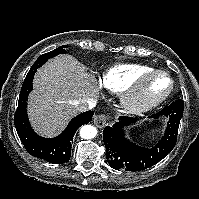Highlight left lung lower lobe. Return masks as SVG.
Masks as SVG:
<instances>
[{"label":"left lung lower lobe","instance_id":"0a47b994","mask_svg":"<svg viewBox=\"0 0 199 199\" xmlns=\"http://www.w3.org/2000/svg\"><path fill=\"white\" fill-rule=\"evenodd\" d=\"M184 103L181 99L164 107L152 117H167V128L155 147L148 149L138 146L125 138L124 127L135 123L137 119L120 117L112 127L106 126L103 141L107 160L116 170L141 171L161 161L175 146L179 123L183 115Z\"/></svg>","mask_w":199,"mask_h":199}]
</instances>
